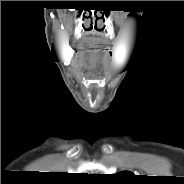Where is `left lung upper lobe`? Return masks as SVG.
Instances as JSON below:
<instances>
[{
  "label": "left lung upper lobe",
  "instance_id": "left-lung-upper-lobe-1",
  "mask_svg": "<svg viewBox=\"0 0 184 184\" xmlns=\"http://www.w3.org/2000/svg\"><path fill=\"white\" fill-rule=\"evenodd\" d=\"M120 174H124V175H126V174H131L130 172H122V173H120ZM132 175V174H131Z\"/></svg>",
  "mask_w": 184,
  "mask_h": 184
}]
</instances>
